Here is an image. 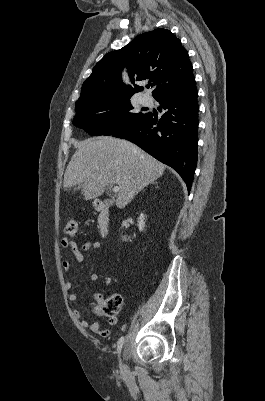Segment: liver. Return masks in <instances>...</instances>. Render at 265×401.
I'll use <instances>...</instances> for the list:
<instances>
[{
	"label": "liver",
	"instance_id": "obj_1",
	"mask_svg": "<svg viewBox=\"0 0 265 401\" xmlns=\"http://www.w3.org/2000/svg\"><path fill=\"white\" fill-rule=\"evenodd\" d=\"M75 146L64 174V188L78 184L85 201L103 194L107 184H118L115 205L124 209L137 192L164 172L165 164L128 140L96 136L75 142Z\"/></svg>",
	"mask_w": 265,
	"mask_h": 401
}]
</instances>
